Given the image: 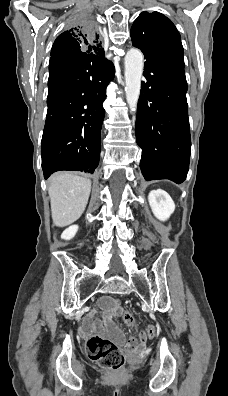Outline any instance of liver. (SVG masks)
<instances>
[{"label": "liver", "mask_w": 228, "mask_h": 396, "mask_svg": "<svg viewBox=\"0 0 228 396\" xmlns=\"http://www.w3.org/2000/svg\"><path fill=\"white\" fill-rule=\"evenodd\" d=\"M91 191V181L71 173L60 172L50 178L49 197L54 225L64 227L83 214Z\"/></svg>", "instance_id": "6515ba94"}]
</instances>
